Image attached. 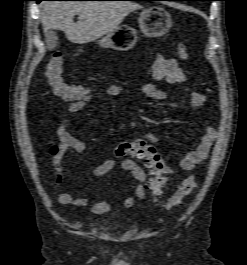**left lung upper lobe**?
<instances>
[{
	"label": "left lung upper lobe",
	"mask_w": 247,
	"mask_h": 265,
	"mask_svg": "<svg viewBox=\"0 0 247 265\" xmlns=\"http://www.w3.org/2000/svg\"><path fill=\"white\" fill-rule=\"evenodd\" d=\"M202 1H211V0H202Z\"/></svg>",
	"instance_id": "1"
}]
</instances>
